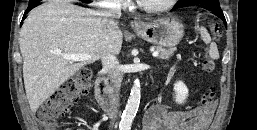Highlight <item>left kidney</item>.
Masks as SVG:
<instances>
[{
    "mask_svg": "<svg viewBox=\"0 0 257 130\" xmlns=\"http://www.w3.org/2000/svg\"><path fill=\"white\" fill-rule=\"evenodd\" d=\"M175 101L178 104H183L188 97V88L182 81H177L174 84Z\"/></svg>",
    "mask_w": 257,
    "mask_h": 130,
    "instance_id": "left-kidney-1",
    "label": "left kidney"
}]
</instances>
